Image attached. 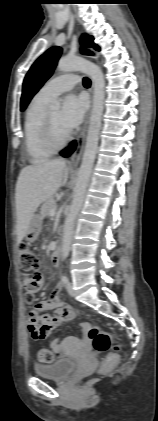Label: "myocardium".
I'll return each mask as SVG.
<instances>
[{"mask_svg": "<svg viewBox=\"0 0 158 421\" xmlns=\"http://www.w3.org/2000/svg\"><path fill=\"white\" fill-rule=\"evenodd\" d=\"M71 138V133L68 132L65 136L59 138L54 130V126L51 120L50 112L47 111L43 122V139L45 144L56 151L63 148Z\"/></svg>", "mask_w": 158, "mask_h": 421, "instance_id": "myocardium-1", "label": "myocardium"}]
</instances>
